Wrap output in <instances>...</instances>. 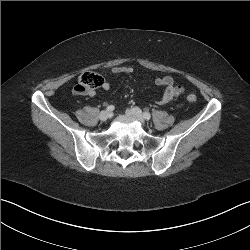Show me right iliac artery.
Instances as JSON below:
<instances>
[{
  "instance_id": "1",
  "label": "right iliac artery",
  "mask_w": 250,
  "mask_h": 250,
  "mask_svg": "<svg viewBox=\"0 0 250 250\" xmlns=\"http://www.w3.org/2000/svg\"><path fill=\"white\" fill-rule=\"evenodd\" d=\"M107 111H113L114 110V106L113 105H109L106 108Z\"/></svg>"
}]
</instances>
